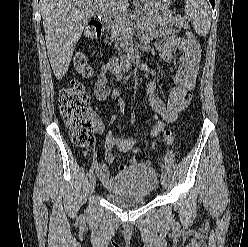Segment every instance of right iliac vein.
I'll list each match as a JSON object with an SVG mask.
<instances>
[{"mask_svg":"<svg viewBox=\"0 0 248 247\" xmlns=\"http://www.w3.org/2000/svg\"><path fill=\"white\" fill-rule=\"evenodd\" d=\"M95 186H96V177L94 174H92L88 183L89 193H93Z\"/></svg>","mask_w":248,"mask_h":247,"instance_id":"obj_1","label":"right iliac vein"}]
</instances>
